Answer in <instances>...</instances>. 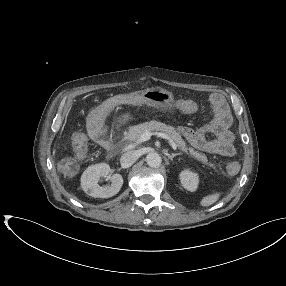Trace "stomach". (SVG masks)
Here are the masks:
<instances>
[{
    "instance_id": "1",
    "label": "stomach",
    "mask_w": 286,
    "mask_h": 286,
    "mask_svg": "<svg viewBox=\"0 0 286 286\" xmlns=\"http://www.w3.org/2000/svg\"><path fill=\"white\" fill-rule=\"evenodd\" d=\"M141 100L149 106L167 111L172 110L174 97L172 92L161 87H152L139 92Z\"/></svg>"
}]
</instances>
